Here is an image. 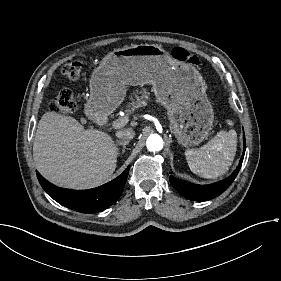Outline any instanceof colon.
<instances>
[{"label": "colon", "instance_id": "5ec220e1", "mask_svg": "<svg viewBox=\"0 0 281 281\" xmlns=\"http://www.w3.org/2000/svg\"><path fill=\"white\" fill-rule=\"evenodd\" d=\"M176 60L188 62L193 65L200 64V59L181 47H176L172 53ZM83 60L76 59L67 63L61 70L62 75L69 80H77L82 75ZM76 103L71 91L62 90L51 101V110L54 114H69L74 112Z\"/></svg>", "mask_w": 281, "mask_h": 281}]
</instances>
